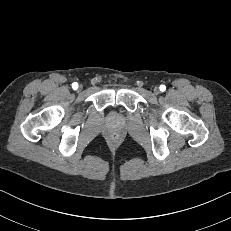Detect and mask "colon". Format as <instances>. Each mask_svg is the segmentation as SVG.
Returning <instances> with one entry per match:
<instances>
[{
  "label": "colon",
  "mask_w": 231,
  "mask_h": 231,
  "mask_svg": "<svg viewBox=\"0 0 231 231\" xmlns=\"http://www.w3.org/2000/svg\"><path fill=\"white\" fill-rule=\"evenodd\" d=\"M114 138H117V135H114Z\"/></svg>",
  "instance_id": "1"
}]
</instances>
